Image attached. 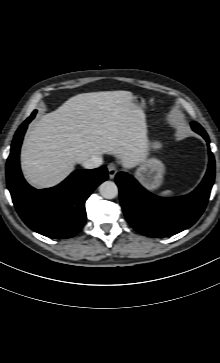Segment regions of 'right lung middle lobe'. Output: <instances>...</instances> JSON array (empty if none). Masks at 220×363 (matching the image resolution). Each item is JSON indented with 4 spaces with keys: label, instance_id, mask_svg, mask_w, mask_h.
<instances>
[{
    "label": "right lung middle lobe",
    "instance_id": "1",
    "mask_svg": "<svg viewBox=\"0 0 220 363\" xmlns=\"http://www.w3.org/2000/svg\"><path fill=\"white\" fill-rule=\"evenodd\" d=\"M34 116H35V114H36V111H34L33 113H32Z\"/></svg>",
    "mask_w": 220,
    "mask_h": 363
}]
</instances>
